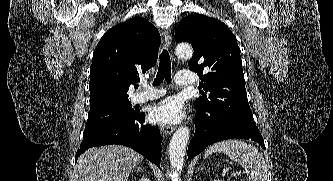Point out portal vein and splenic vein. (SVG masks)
Here are the masks:
<instances>
[{"mask_svg":"<svg viewBox=\"0 0 333 181\" xmlns=\"http://www.w3.org/2000/svg\"><path fill=\"white\" fill-rule=\"evenodd\" d=\"M237 174H238V172L234 171V172L232 173V176H236Z\"/></svg>","mask_w":333,"mask_h":181,"instance_id":"portal-vein-and-splenic-vein-1","label":"portal vein and splenic vein"}]
</instances>
